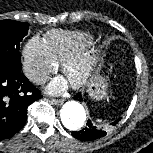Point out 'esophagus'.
Listing matches in <instances>:
<instances>
[{
    "mask_svg": "<svg viewBox=\"0 0 153 153\" xmlns=\"http://www.w3.org/2000/svg\"><path fill=\"white\" fill-rule=\"evenodd\" d=\"M51 102L55 105H62L64 103L63 99H51Z\"/></svg>",
    "mask_w": 153,
    "mask_h": 153,
    "instance_id": "esophagus-1",
    "label": "esophagus"
}]
</instances>
